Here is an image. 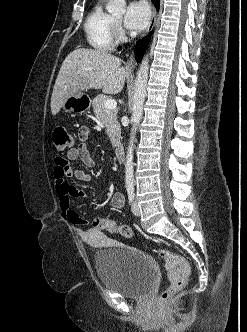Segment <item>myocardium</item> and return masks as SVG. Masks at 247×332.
<instances>
[{
  "mask_svg": "<svg viewBox=\"0 0 247 332\" xmlns=\"http://www.w3.org/2000/svg\"><path fill=\"white\" fill-rule=\"evenodd\" d=\"M112 31H113L114 38H116L118 40H122L124 38L121 28L119 26V23L115 19H113Z\"/></svg>",
  "mask_w": 247,
  "mask_h": 332,
  "instance_id": "obj_1",
  "label": "myocardium"
}]
</instances>
